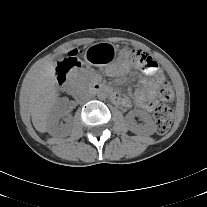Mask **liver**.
I'll return each mask as SVG.
<instances>
[{
	"label": "liver",
	"instance_id": "obj_1",
	"mask_svg": "<svg viewBox=\"0 0 207 207\" xmlns=\"http://www.w3.org/2000/svg\"><path fill=\"white\" fill-rule=\"evenodd\" d=\"M55 66L53 58L46 59L28 73L22 86V96L31 111L32 123L41 133L47 131L49 114L59 96Z\"/></svg>",
	"mask_w": 207,
	"mask_h": 207
}]
</instances>
